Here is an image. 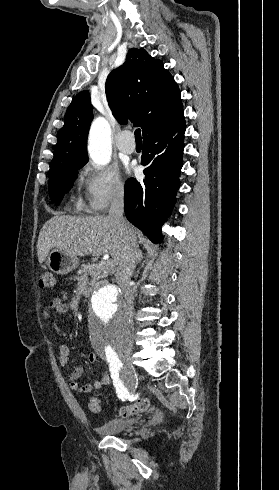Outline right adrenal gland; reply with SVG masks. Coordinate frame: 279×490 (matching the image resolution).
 Segmentation results:
<instances>
[{
    "label": "right adrenal gland",
    "instance_id": "1",
    "mask_svg": "<svg viewBox=\"0 0 279 490\" xmlns=\"http://www.w3.org/2000/svg\"><path fill=\"white\" fill-rule=\"evenodd\" d=\"M142 258H143V256H142V252H139L138 264H140V262H141Z\"/></svg>",
    "mask_w": 279,
    "mask_h": 490
}]
</instances>
